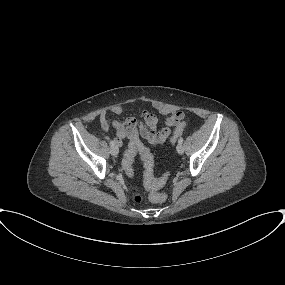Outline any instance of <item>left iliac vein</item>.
Listing matches in <instances>:
<instances>
[{
	"label": "left iliac vein",
	"mask_w": 285,
	"mask_h": 285,
	"mask_svg": "<svg viewBox=\"0 0 285 285\" xmlns=\"http://www.w3.org/2000/svg\"><path fill=\"white\" fill-rule=\"evenodd\" d=\"M176 150H177V152H178L179 154H183V153H184V147H183V145H182V144H178V145L176 146Z\"/></svg>",
	"instance_id": "left-iliac-vein-1"
}]
</instances>
